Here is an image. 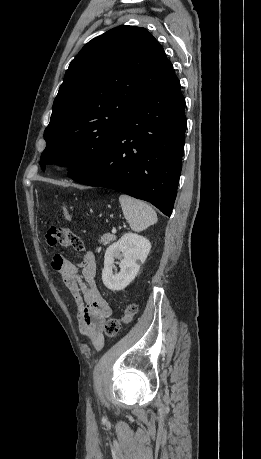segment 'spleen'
<instances>
[{
  "instance_id": "1",
  "label": "spleen",
  "mask_w": 261,
  "mask_h": 459,
  "mask_svg": "<svg viewBox=\"0 0 261 459\" xmlns=\"http://www.w3.org/2000/svg\"><path fill=\"white\" fill-rule=\"evenodd\" d=\"M119 202L124 217L133 231L140 232L157 223L156 212L145 202L125 194L120 195Z\"/></svg>"
}]
</instances>
